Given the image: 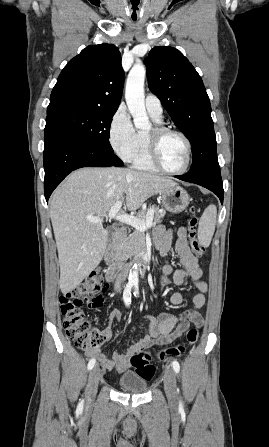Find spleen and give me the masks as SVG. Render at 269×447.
<instances>
[{"mask_svg": "<svg viewBox=\"0 0 269 447\" xmlns=\"http://www.w3.org/2000/svg\"><path fill=\"white\" fill-rule=\"evenodd\" d=\"M216 218L217 208L211 204V206H208L204 210L198 225V239L200 245H203V247H209L211 243L215 231Z\"/></svg>", "mask_w": 269, "mask_h": 447, "instance_id": "obj_1", "label": "spleen"}]
</instances>
